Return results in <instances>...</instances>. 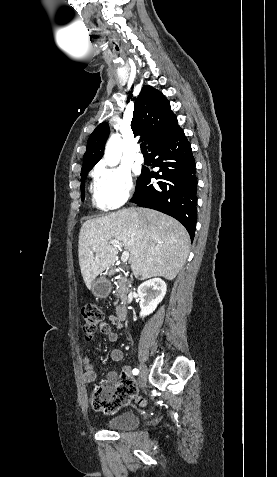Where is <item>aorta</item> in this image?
Listing matches in <instances>:
<instances>
[{
  "label": "aorta",
  "mask_w": 277,
  "mask_h": 477,
  "mask_svg": "<svg viewBox=\"0 0 277 477\" xmlns=\"http://www.w3.org/2000/svg\"><path fill=\"white\" fill-rule=\"evenodd\" d=\"M122 155V149H121V138L119 134H113L105 147V161L108 166H116Z\"/></svg>",
  "instance_id": "762f6f07"
}]
</instances>
